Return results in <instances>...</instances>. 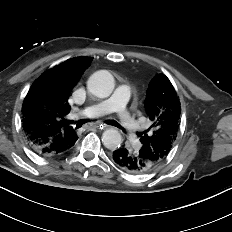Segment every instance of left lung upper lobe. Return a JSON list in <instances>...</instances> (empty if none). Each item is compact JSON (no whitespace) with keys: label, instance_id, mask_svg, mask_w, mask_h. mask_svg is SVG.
<instances>
[{"label":"left lung upper lobe","instance_id":"left-lung-upper-lobe-1","mask_svg":"<svg viewBox=\"0 0 232 232\" xmlns=\"http://www.w3.org/2000/svg\"><path fill=\"white\" fill-rule=\"evenodd\" d=\"M179 97L164 74L156 75L146 93L145 111L152 125L139 133L140 152L154 163L160 164L174 145L180 126Z\"/></svg>","mask_w":232,"mask_h":232}]
</instances>
